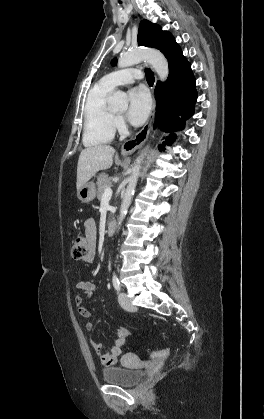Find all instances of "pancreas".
I'll use <instances>...</instances> for the list:
<instances>
[{"label":"pancreas","instance_id":"pancreas-1","mask_svg":"<svg viewBox=\"0 0 264 419\" xmlns=\"http://www.w3.org/2000/svg\"><path fill=\"white\" fill-rule=\"evenodd\" d=\"M112 183L106 173H100L97 176V197L102 199L106 188L111 187Z\"/></svg>","mask_w":264,"mask_h":419}]
</instances>
